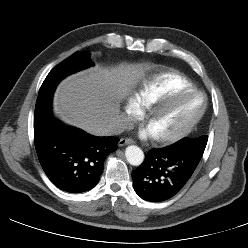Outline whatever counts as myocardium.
<instances>
[{
    "mask_svg": "<svg viewBox=\"0 0 248 248\" xmlns=\"http://www.w3.org/2000/svg\"><path fill=\"white\" fill-rule=\"evenodd\" d=\"M193 94H199L203 97V107L201 111L178 131L171 133V134H167V135L156 136V139L159 142L174 143L186 137L198 125V123L203 118L207 110L208 99H207L206 94L200 90L187 89V90L178 91L170 95H167L165 97H162L161 99H159L157 102L153 103L149 107L148 113L146 115L147 125L152 121L154 117H156L158 114L166 110L172 103H174L180 98L193 95Z\"/></svg>",
    "mask_w": 248,
    "mask_h": 248,
    "instance_id": "obj_1",
    "label": "myocardium"
}]
</instances>
